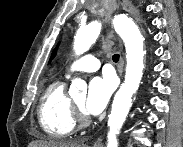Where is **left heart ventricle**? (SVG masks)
<instances>
[{
    "label": "left heart ventricle",
    "instance_id": "b2bd125f",
    "mask_svg": "<svg viewBox=\"0 0 183 147\" xmlns=\"http://www.w3.org/2000/svg\"><path fill=\"white\" fill-rule=\"evenodd\" d=\"M75 103H76L78 106H80V107L83 108V107H84V103H85V97L82 96V97L76 99V100H75Z\"/></svg>",
    "mask_w": 183,
    "mask_h": 147
}]
</instances>
